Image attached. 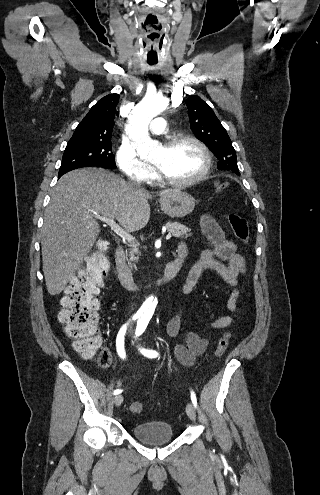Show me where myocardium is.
I'll list each match as a JSON object with an SVG mask.
<instances>
[{
	"label": "myocardium",
	"instance_id": "1",
	"mask_svg": "<svg viewBox=\"0 0 320 495\" xmlns=\"http://www.w3.org/2000/svg\"><path fill=\"white\" fill-rule=\"evenodd\" d=\"M192 143L194 144L202 153V156L204 158V166L203 169L201 170L200 173L195 175L194 177L188 178V179H182V180H177V179H172L168 176H166L159 168H157L159 177L160 179L169 185L173 186H190L199 183L202 181L210 172L211 167H212V157L210 154L209 149L207 146L201 142L199 139L196 137L190 136V135H179V136H174L169 138L165 143L164 147L165 148H171L173 146H176L180 143Z\"/></svg>",
	"mask_w": 320,
	"mask_h": 495
}]
</instances>
